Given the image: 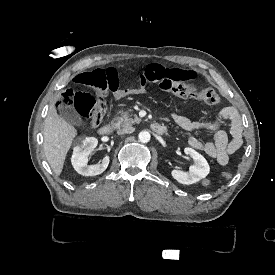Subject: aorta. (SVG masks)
<instances>
[{
	"instance_id": "762f6f07",
	"label": "aorta",
	"mask_w": 275,
	"mask_h": 275,
	"mask_svg": "<svg viewBox=\"0 0 275 275\" xmlns=\"http://www.w3.org/2000/svg\"><path fill=\"white\" fill-rule=\"evenodd\" d=\"M138 138L141 143H147L150 141L151 135L148 131H141L138 134Z\"/></svg>"
}]
</instances>
